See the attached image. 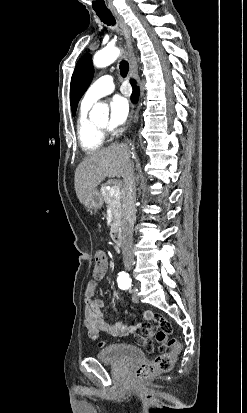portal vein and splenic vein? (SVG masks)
I'll return each instance as SVG.
<instances>
[{
    "label": "portal vein and splenic vein",
    "instance_id": "18ae733b",
    "mask_svg": "<svg viewBox=\"0 0 247 413\" xmlns=\"http://www.w3.org/2000/svg\"><path fill=\"white\" fill-rule=\"evenodd\" d=\"M108 190H109L111 196H113V194H114V196H119V194H120V188H119V186H116V184H113V186H111V188L109 186Z\"/></svg>",
    "mask_w": 247,
    "mask_h": 413
}]
</instances>
